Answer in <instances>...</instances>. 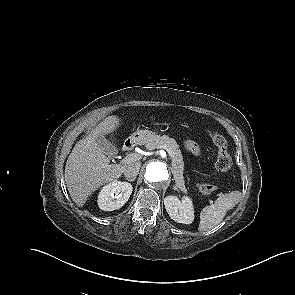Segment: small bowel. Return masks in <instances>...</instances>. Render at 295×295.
Segmentation results:
<instances>
[{
  "label": "small bowel",
  "instance_id": "small-bowel-1",
  "mask_svg": "<svg viewBox=\"0 0 295 295\" xmlns=\"http://www.w3.org/2000/svg\"><path fill=\"white\" fill-rule=\"evenodd\" d=\"M185 148L187 151L195 155H198L200 152L199 147L192 141H187L185 143Z\"/></svg>",
  "mask_w": 295,
  "mask_h": 295
}]
</instances>
